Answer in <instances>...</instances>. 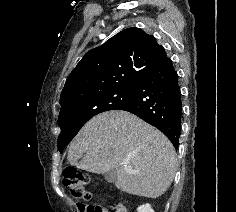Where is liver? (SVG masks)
I'll return each mask as SVG.
<instances>
[{"label":"liver","instance_id":"1","mask_svg":"<svg viewBox=\"0 0 236 212\" xmlns=\"http://www.w3.org/2000/svg\"><path fill=\"white\" fill-rule=\"evenodd\" d=\"M67 158L71 166L92 173L114 170L118 189L147 198L164 194L176 170L169 139L126 111H107L89 120L70 144Z\"/></svg>","mask_w":236,"mask_h":212}]
</instances>
